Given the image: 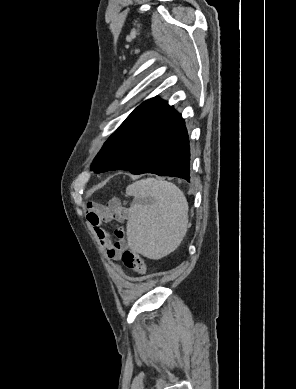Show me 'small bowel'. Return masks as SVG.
Wrapping results in <instances>:
<instances>
[{"instance_id":"small-bowel-1","label":"small bowel","mask_w":296,"mask_h":389,"mask_svg":"<svg viewBox=\"0 0 296 389\" xmlns=\"http://www.w3.org/2000/svg\"><path fill=\"white\" fill-rule=\"evenodd\" d=\"M127 218V209L116 201L107 205L90 203L87 206V220L93 227L107 257L112 260H119L127 247L126 229L123 225ZM112 222L120 224L114 230L117 238L115 242H112L110 234L105 229V226Z\"/></svg>"}]
</instances>
